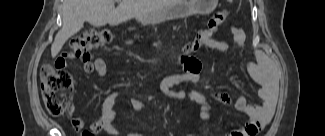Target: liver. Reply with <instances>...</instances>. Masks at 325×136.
<instances>
[{
    "label": "liver",
    "mask_w": 325,
    "mask_h": 136,
    "mask_svg": "<svg viewBox=\"0 0 325 136\" xmlns=\"http://www.w3.org/2000/svg\"><path fill=\"white\" fill-rule=\"evenodd\" d=\"M64 0L63 24L51 46V55L56 57L65 42L89 22L94 27L119 25L134 17L138 18L161 11L175 0Z\"/></svg>",
    "instance_id": "liver-1"
}]
</instances>
